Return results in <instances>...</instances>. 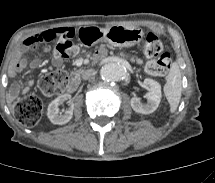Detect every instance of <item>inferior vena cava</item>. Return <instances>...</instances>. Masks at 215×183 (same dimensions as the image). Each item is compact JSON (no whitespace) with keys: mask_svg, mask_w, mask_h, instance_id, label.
<instances>
[{"mask_svg":"<svg viewBox=\"0 0 215 183\" xmlns=\"http://www.w3.org/2000/svg\"><path fill=\"white\" fill-rule=\"evenodd\" d=\"M94 75H95V71L93 69H88L82 73V79L88 80V79L94 77Z\"/></svg>","mask_w":215,"mask_h":183,"instance_id":"obj_1","label":"inferior vena cava"}]
</instances>
